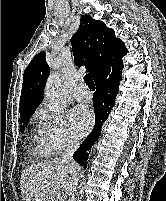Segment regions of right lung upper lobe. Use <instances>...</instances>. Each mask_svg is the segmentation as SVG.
I'll return each mask as SVG.
<instances>
[{
  "label": "right lung upper lobe",
  "instance_id": "right-lung-upper-lobe-1",
  "mask_svg": "<svg viewBox=\"0 0 166 201\" xmlns=\"http://www.w3.org/2000/svg\"><path fill=\"white\" fill-rule=\"evenodd\" d=\"M75 64L85 65L94 81L111 66L122 65L121 58L127 54L124 43L115 37L114 30L88 15L81 16L78 31L72 36ZM50 69L45 53L37 54L23 75L20 97V118L32 115L43 100V90Z\"/></svg>",
  "mask_w": 166,
  "mask_h": 201
}]
</instances>
